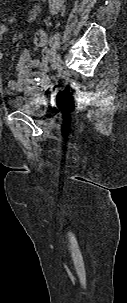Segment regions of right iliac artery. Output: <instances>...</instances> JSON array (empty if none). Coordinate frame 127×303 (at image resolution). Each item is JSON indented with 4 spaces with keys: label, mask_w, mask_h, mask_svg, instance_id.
<instances>
[{
    "label": "right iliac artery",
    "mask_w": 127,
    "mask_h": 303,
    "mask_svg": "<svg viewBox=\"0 0 127 303\" xmlns=\"http://www.w3.org/2000/svg\"><path fill=\"white\" fill-rule=\"evenodd\" d=\"M50 53H51V56L54 57L56 55V48L55 47H51L50 48Z\"/></svg>",
    "instance_id": "82829eb1"
}]
</instances>
